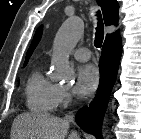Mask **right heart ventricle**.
<instances>
[{
	"label": "right heart ventricle",
	"instance_id": "1",
	"mask_svg": "<svg viewBox=\"0 0 141 139\" xmlns=\"http://www.w3.org/2000/svg\"><path fill=\"white\" fill-rule=\"evenodd\" d=\"M59 88L40 70H34L25 85L26 105L32 112L49 114L57 107Z\"/></svg>",
	"mask_w": 141,
	"mask_h": 139
}]
</instances>
